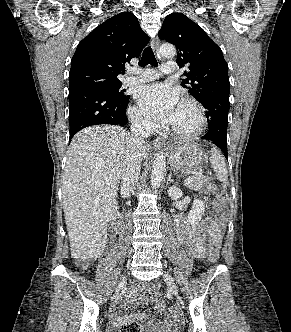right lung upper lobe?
Returning a JSON list of instances; mask_svg holds the SVG:
<instances>
[{
  "label": "right lung upper lobe",
  "mask_w": 291,
  "mask_h": 332,
  "mask_svg": "<svg viewBox=\"0 0 291 332\" xmlns=\"http://www.w3.org/2000/svg\"><path fill=\"white\" fill-rule=\"evenodd\" d=\"M149 37L130 12L115 15L96 27L77 46L71 60L69 92L88 88L95 82H120L125 63L138 57Z\"/></svg>",
  "instance_id": "cb5924a9"
}]
</instances>
